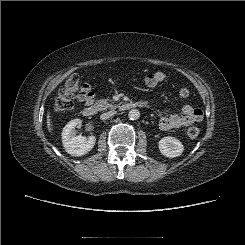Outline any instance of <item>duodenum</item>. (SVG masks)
I'll use <instances>...</instances> for the list:
<instances>
[{"label": "duodenum", "instance_id": "1", "mask_svg": "<svg viewBox=\"0 0 245 245\" xmlns=\"http://www.w3.org/2000/svg\"><path fill=\"white\" fill-rule=\"evenodd\" d=\"M137 107V103L134 102H126V103H122L119 106V109L121 111H128L131 110L133 108ZM98 112V107L97 105L93 104V103H89L85 106V108L83 109V115L86 117H93L97 114Z\"/></svg>", "mask_w": 245, "mask_h": 245}]
</instances>
